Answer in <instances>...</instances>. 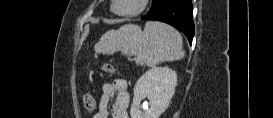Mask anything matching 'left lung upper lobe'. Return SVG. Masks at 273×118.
<instances>
[{"mask_svg":"<svg viewBox=\"0 0 273 118\" xmlns=\"http://www.w3.org/2000/svg\"><path fill=\"white\" fill-rule=\"evenodd\" d=\"M161 2H162V0H153L152 1V6H151V9H150L149 12L154 11L160 5Z\"/></svg>","mask_w":273,"mask_h":118,"instance_id":"5c2ea615","label":"left lung upper lobe"}]
</instances>
